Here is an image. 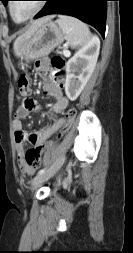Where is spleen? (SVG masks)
I'll list each match as a JSON object with an SVG mask.
<instances>
[{
	"instance_id": "3e777b00",
	"label": "spleen",
	"mask_w": 133,
	"mask_h": 253,
	"mask_svg": "<svg viewBox=\"0 0 133 253\" xmlns=\"http://www.w3.org/2000/svg\"><path fill=\"white\" fill-rule=\"evenodd\" d=\"M57 23L72 48L86 44L91 37L88 26L74 17L59 15Z\"/></svg>"
}]
</instances>
